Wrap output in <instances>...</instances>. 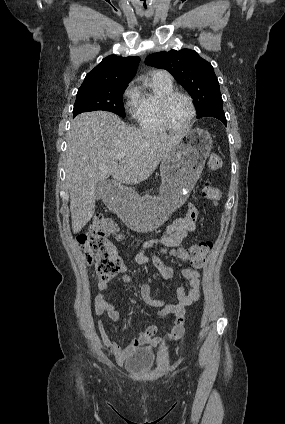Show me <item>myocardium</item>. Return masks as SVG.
<instances>
[{"instance_id":"obj_1","label":"myocardium","mask_w":285,"mask_h":424,"mask_svg":"<svg viewBox=\"0 0 285 424\" xmlns=\"http://www.w3.org/2000/svg\"><path fill=\"white\" fill-rule=\"evenodd\" d=\"M183 97L185 98L191 108V115L189 118V121L187 122V124L183 127H175L173 126L168 119V114H167V110H168V106L170 104V102L175 98V97ZM196 115H197V111H196V107L194 104L193 99L186 93L180 92V91H171L168 94H166L160 101L159 104V117L160 120L162 122V124L170 131L173 132H178V133H183L186 132L187 130H189L191 128V126L193 125L195 119H196Z\"/></svg>"}]
</instances>
